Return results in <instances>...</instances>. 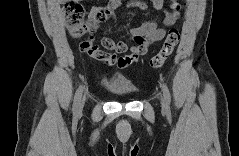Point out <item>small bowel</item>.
Instances as JSON below:
<instances>
[{"label": "small bowel", "mask_w": 239, "mask_h": 156, "mask_svg": "<svg viewBox=\"0 0 239 156\" xmlns=\"http://www.w3.org/2000/svg\"><path fill=\"white\" fill-rule=\"evenodd\" d=\"M121 4V0H109L104 6H96L91 9L89 20L93 24L94 32L99 31L97 14L103 11L105 13V19H113L115 17L116 10L121 6ZM164 4V0H152L153 8L156 10H162ZM168 6V9L164 11V27H159L155 21H147L139 26L131 28L129 36L125 40L116 42L106 36L102 37L101 44L109 52L128 53L116 61L119 68H126L136 63L139 56L145 54L151 44L159 42L165 37V27L174 25L178 20L181 11V5L178 1L170 0L168 2ZM128 7L144 10L146 6L143 2L132 1L128 4ZM130 41L134 42V44H130ZM92 47L93 51L88 52L89 54L103 59L106 63H113L115 57L112 53H103L98 51L94 42Z\"/></svg>", "instance_id": "1"}]
</instances>
